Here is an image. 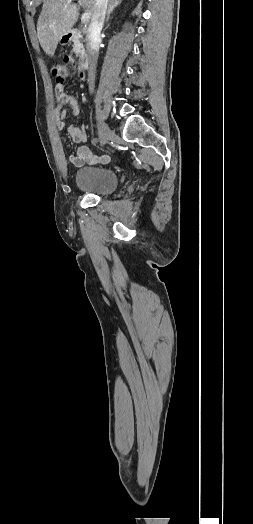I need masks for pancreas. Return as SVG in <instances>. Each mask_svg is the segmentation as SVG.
<instances>
[{
  "mask_svg": "<svg viewBox=\"0 0 253 524\" xmlns=\"http://www.w3.org/2000/svg\"><path fill=\"white\" fill-rule=\"evenodd\" d=\"M73 52L81 57L84 56L85 49H84L83 43L78 38H75L73 40Z\"/></svg>",
  "mask_w": 253,
  "mask_h": 524,
  "instance_id": "obj_1",
  "label": "pancreas"
}]
</instances>
